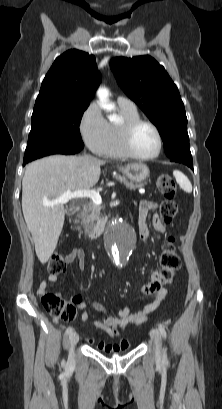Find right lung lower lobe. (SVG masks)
<instances>
[{"label":"right lung lower lobe","mask_w":222,"mask_h":409,"mask_svg":"<svg viewBox=\"0 0 222 409\" xmlns=\"http://www.w3.org/2000/svg\"><path fill=\"white\" fill-rule=\"evenodd\" d=\"M83 149V147H79V148H77V152H79V151H81ZM28 162H23V166L25 165V164H27Z\"/></svg>","instance_id":"right-lung-lower-lobe-1"}]
</instances>
